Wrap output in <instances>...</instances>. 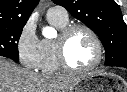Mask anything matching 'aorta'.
<instances>
[{"instance_id": "obj_1", "label": "aorta", "mask_w": 127, "mask_h": 92, "mask_svg": "<svg viewBox=\"0 0 127 92\" xmlns=\"http://www.w3.org/2000/svg\"><path fill=\"white\" fill-rule=\"evenodd\" d=\"M52 30L53 29L50 27L43 28V35L47 37L49 35V32H51Z\"/></svg>"}]
</instances>
